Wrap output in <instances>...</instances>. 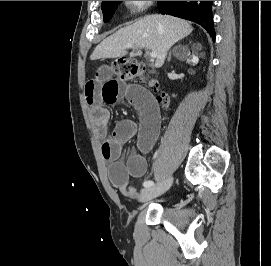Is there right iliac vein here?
Masks as SVG:
<instances>
[{
	"instance_id": "right-iliac-vein-1",
	"label": "right iliac vein",
	"mask_w": 271,
	"mask_h": 266,
	"mask_svg": "<svg viewBox=\"0 0 271 266\" xmlns=\"http://www.w3.org/2000/svg\"><path fill=\"white\" fill-rule=\"evenodd\" d=\"M172 181L173 179L169 178L159 186L144 188L141 191L139 201L143 203L164 194L170 188Z\"/></svg>"
}]
</instances>
